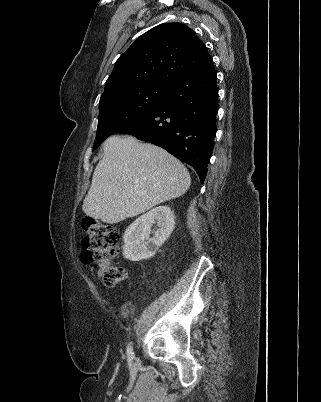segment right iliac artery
I'll list each match as a JSON object with an SVG mask.
<instances>
[{"label": "right iliac artery", "instance_id": "obj_1", "mask_svg": "<svg viewBox=\"0 0 321 402\" xmlns=\"http://www.w3.org/2000/svg\"><path fill=\"white\" fill-rule=\"evenodd\" d=\"M127 357H128L129 360H133V358H134V352H133L132 345H129L127 347Z\"/></svg>", "mask_w": 321, "mask_h": 402}]
</instances>
